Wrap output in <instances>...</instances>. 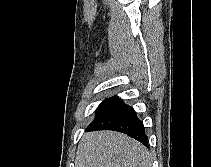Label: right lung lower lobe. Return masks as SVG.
<instances>
[{
	"mask_svg": "<svg viewBox=\"0 0 211 167\" xmlns=\"http://www.w3.org/2000/svg\"><path fill=\"white\" fill-rule=\"evenodd\" d=\"M96 130L119 131L148 146V137L145 134L143 122L137 118L134 109L120 99L109 106L86 129V131Z\"/></svg>",
	"mask_w": 211,
	"mask_h": 167,
	"instance_id": "right-lung-lower-lobe-1",
	"label": "right lung lower lobe"
}]
</instances>
